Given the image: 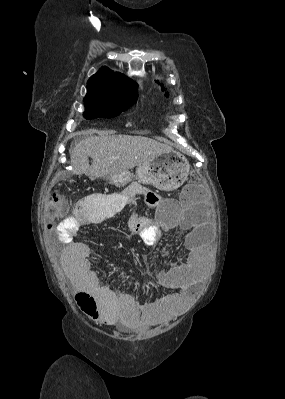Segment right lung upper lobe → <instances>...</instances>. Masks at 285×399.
<instances>
[{
    "label": "right lung upper lobe",
    "mask_w": 285,
    "mask_h": 399,
    "mask_svg": "<svg viewBox=\"0 0 285 399\" xmlns=\"http://www.w3.org/2000/svg\"><path fill=\"white\" fill-rule=\"evenodd\" d=\"M84 99H113L138 95L137 84L125 75L102 67L87 82Z\"/></svg>",
    "instance_id": "right-lung-upper-lobe-1"
}]
</instances>
